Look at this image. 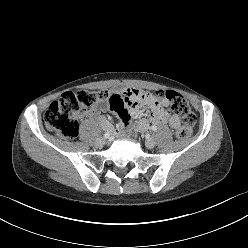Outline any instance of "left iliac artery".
I'll return each mask as SVG.
<instances>
[{"label":"left iliac artery","mask_w":248,"mask_h":248,"mask_svg":"<svg viewBox=\"0 0 248 248\" xmlns=\"http://www.w3.org/2000/svg\"><path fill=\"white\" fill-rule=\"evenodd\" d=\"M152 131H156L157 130V127L156 126H152Z\"/></svg>","instance_id":"left-iliac-artery-1"}]
</instances>
